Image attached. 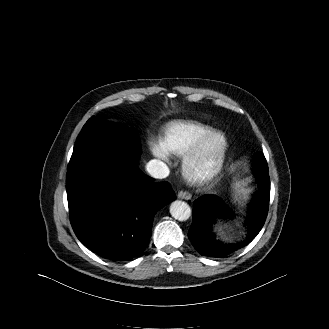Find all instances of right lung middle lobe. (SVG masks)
Listing matches in <instances>:
<instances>
[{"label":"right lung middle lobe","mask_w":329,"mask_h":329,"mask_svg":"<svg viewBox=\"0 0 329 329\" xmlns=\"http://www.w3.org/2000/svg\"><path fill=\"white\" fill-rule=\"evenodd\" d=\"M103 152H114L137 159L141 153L138 135L121 124L92 117L83 126L76 140L67 169Z\"/></svg>","instance_id":"right-lung-middle-lobe-1"}]
</instances>
